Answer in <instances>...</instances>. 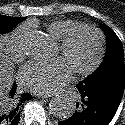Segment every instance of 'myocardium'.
I'll return each instance as SVG.
<instances>
[{
	"label": "myocardium",
	"mask_w": 125,
	"mask_h": 125,
	"mask_svg": "<svg viewBox=\"0 0 125 125\" xmlns=\"http://www.w3.org/2000/svg\"><path fill=\"white\" fill-rule=\"evenodd\" d=\"M84 31L92 32L97 37L98 48L95 57L88 65L72 70L73 73L79 76H87L97 70V68L101 65L103 61L106 51V40L104 33L99 28L88 24H80L70 30L67 35L59 42L60 51L62 53H66L71 48L73 42L78 37V35Z\"/></svg>",
	"instance_id": "1"
}]
</instances>
